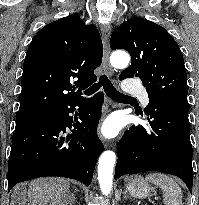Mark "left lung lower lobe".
<instances>
[{
    "instance_id": "1",
    "label": "left lung lower lobe",
    "mask_w": 199,
    "mask_h": 205,
    "mask_svg": "<svg viewBox=\"0 0 199 205\" xmlns=\"http://www.w3.org/2000/svg\"><path fill=\"white\" fill-rule=\"evenodd\" d=\"M188 111L164 101L149 100L145 108L149 127L131 126L118 143L115 179L125 174L159 171L178 176L192 193Z\"/></svg>"
}]
</instances>
